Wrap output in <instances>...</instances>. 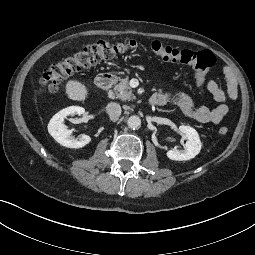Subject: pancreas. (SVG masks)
<instances>
[{
    "instance_id": "obj_1",
    "label": "pancreas",
    "mask_w": 255,
    "mask_h": 255,
    "mask_svg": "<svg viewBox=\"0 0 255 255\" xmlns=\"http://www.w3.org/2000/svg\"><path fill=\"white\" fill-rule=\"evenodd\" d=\"M114 92L117 98L121 100H134L136 99L135 95L133 94L130 86H129V77L125 76L123 79H119V82L114 87Z\"/></svg>"
}]
</instances>
